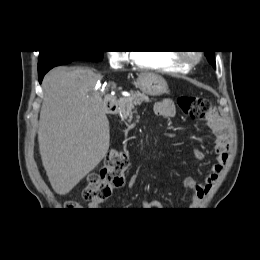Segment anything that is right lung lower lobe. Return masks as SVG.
<instances>
[{
	"label": "right lung lower lobe",
	"instance_id": "obj_1",
	"mask_svg": "<svg viewBox=\"0 0 260 260\" xmlns=\"http://www.w3.org/2000/svg\"><path fill=\"white\" fill-rule=\"evenodd\" d=\"M47 71H49V70H46V71H43V72H39V73H38V74H39V82H40V83L42 82V79H43L44 75L47 73Z\"/></svg>",
	"mask_w": 260,
	"mask_h": 260
}]
</instances>
